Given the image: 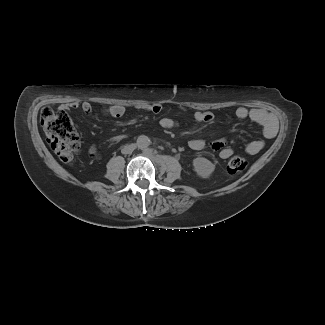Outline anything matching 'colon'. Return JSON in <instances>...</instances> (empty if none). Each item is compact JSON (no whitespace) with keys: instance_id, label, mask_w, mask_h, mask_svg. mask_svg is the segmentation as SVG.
<instances>
[{"instance_id":"1","label":"colon","mask_w":325,"mask_h":325,"mask_svg":"<svg viewBox=\"0 0 325 325\" xmlns=\"http://www.w3.org/2000/svg\"><path fill=\"white\" fill-rule=\"evenodd\" d=\"M40 123L47 142L58 158L64 163H71L80 148L76 131L66 128L59 115L50 107H43L41 109ZM246 167V159L235 156L229 160L227 170L229 173L235 174L242 172Z\"/></svg>"}]
</instances>
